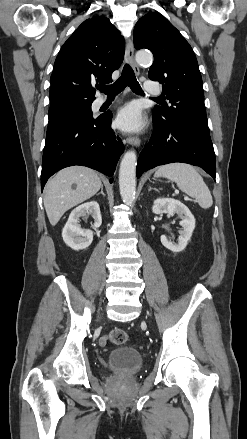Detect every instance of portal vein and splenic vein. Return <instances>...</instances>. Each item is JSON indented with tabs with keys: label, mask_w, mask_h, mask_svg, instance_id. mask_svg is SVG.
I'll return each mask as SVG.
<instances>
[{
	"label": "portal vein and splenic vein",
	"mask_w": 247,
	"mask_h": 439,
	"mask_svg": "<svg viewBox=\"0 0 247 439\" xmlns=\"http://www.w3.org/2000/svg\"><path fill=\"white\" fill-rule=\"evenodd\" d=\"M185 200H189L190 198L188 196L184 197Z\"/></svg>",
	"instance_id": "1"
}]
</instances>
